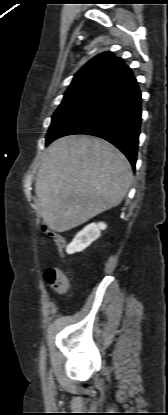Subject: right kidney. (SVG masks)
<instances>
[{"label":"right kidney","instance_id":"1","mask_svg":"<svg viewBox=\"0 0 168 415\" xmlns=\"http://www.w3.org/2000/svg\"><path fill=\"white\" fill-rule=\"evenodd\" d=\"M107 225L103 222L91 223L81 230L66 247L68 254H74L86 249L93 241L99 238L101 230H105Z\"/></svg>","mask_w":168,"mask_h":415}]
</instances>
